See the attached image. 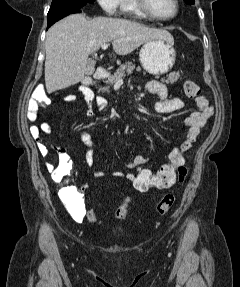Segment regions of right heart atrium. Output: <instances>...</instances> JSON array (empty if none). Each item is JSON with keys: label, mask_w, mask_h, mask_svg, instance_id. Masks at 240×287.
I'll use <instances>...</instances> for the list:
<instances>
[{"label": "right heart atrium", "mask_w": 240, "mask_h": 287, "mask_svg": "<svg viewBox=\"0 0 240 287\" xmlns=\"http://www.w3.org/2000/svg\"><path fill=\"white\" fill-rule=\"evenodd\" d=\"M101 8L109 15H116L119 10L120 0H97Z\"/></svg>", "instance_id": "1"}]
</instances>
